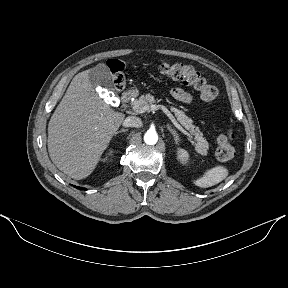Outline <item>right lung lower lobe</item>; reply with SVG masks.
<instances>
[{
	"instance_id": "1",
	"label": "right lung lower lobe",
	"mask_w": 288,
	"mask_h": 288,
	"mask_svg": "<svg viewBox=\"0 0 288 288\" xmlns=\"http://www.w3.org/2000/svg\"><path fill=\"white\" fill-rule=\"evenodd\" d=\"M76 188H78V189H80V190H86L85 188H81V187H76Z\"/></svg>"
}]
</instances>
